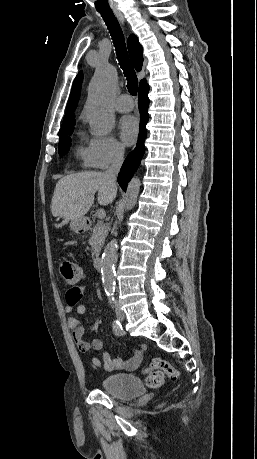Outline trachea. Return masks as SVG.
<instances>
[{
    "label": "trachea",
    "mask_w": 257,
    "mask_h": 459,
    "mask_svg": "<svg viewBox=\"0 0 257 459\" xmlns=\"http://www.w3.org/2000/svg\"><path fill=\"white\" fill-rule=\"evenodd\" d=\"M99 13L105 21L107 28L110 32V35L112 37L119 65L121 66L124 75L127 79L128 91L131 95L135 96L138 90V79L135 70L130 62L125 44L124 34L119 25V22L112 11H99Z\"/></svg>",
    "instance_id": "1"
}]
</instances>
